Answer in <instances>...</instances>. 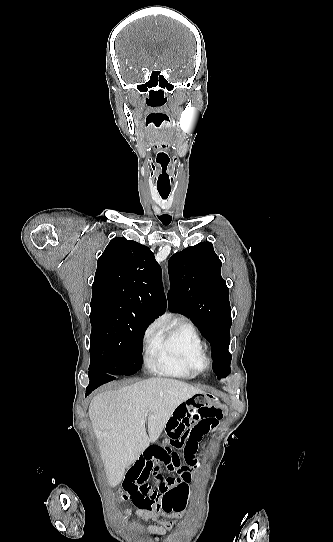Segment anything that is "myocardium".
Segmentation results:
<instances>
[{
    "label": "myocardium",
    "mask_w": 333,
    "mask_h": 542,
    "mask_svg": "<svg viewBox=\"0 0 333 542\" xmlns=\"http://www.w3.org/2000/svg\"><path fill=\"white\" fill-rule=\"evenodd\" d=\"M210 367H211V360L205 357L204 362H203V368L208 369Z\"/></svg>",
    "instance_id": "obj_1"
}]
</instances>
